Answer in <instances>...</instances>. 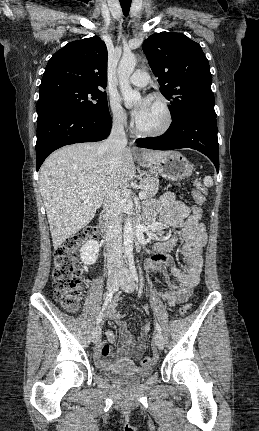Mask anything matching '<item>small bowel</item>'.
<instances>
[{
	"instance_id": "1",
	"label": "small bowel",
	"mask_w": 259,
	"mask_h": 431,
	"mask_svg": "<svg viewBox=\"0 0 259 431\" xmlns=\"http://www.w3.org/2000/svg\"><path fill=\"white\" fill-rule=\"evenodd\" d=\"M151 219L157 221L162 226H170L172 232L165 242L156 243L153 247L150 259L146 264V269L165 275L168 281V290L160 293L161 299L170 306L187 301L195 286L199 283L200 274L203 267L202 252L207 241V233L204 224L193 217L192 208L175 200L171 193L163 194L155 207L149 210ZM183 237L181 253L184 258V268L177 267L166 252L175 248L179 237ZM174 277L178 284L169 282L167 271ZM118 299L115 300L117 302ZM110 315L116 320L120 328V338L118 350L113 353L111 345L99 342L96 349V360L102 366L112 363H131L142 356L145 349L149 323H144L141 327L140 335L137 339L125 328L121 318L123 315L113 304L109 309ZM106 336L109 343L115 341L113 331L107 330Z\"/></svg>"
}]
</instances>
